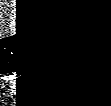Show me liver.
<instances>
[{
	"label": "liver",
	"instance_id": "6515ba94",
	"mask_svg": "<svg viewBox=\"0 0 111 106\" xmlns=\"http://www.w3.org/2000/svg\"><path fill=\"white\" fill-rule=\"evenodd\" d=\"M5 5L8 6V4H5ZM11 5H13V4H11ZM7 11H9V10H7ZM12 11H14V10H12ZM8 15L9 14H7V16ZM11 16L12 15L10 14L9 15L10 19H7V20H6V18L3 19L2 33L4 35H9V34L15 33V20H13V17H11ZM5 20H6V22H5Z\"/></svg>",
	"mask_w": 111,
	"mask_h": 106
}]
</instances>
